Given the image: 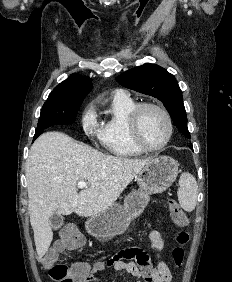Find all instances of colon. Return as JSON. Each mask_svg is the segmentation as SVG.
<instances>
[{
  "mask_svg": "<svg viewBox=\"0 0 232 282\" xmlns=\"http://www.w3.org/2000/svg\"><path fill=\"white\" fill-rule=\"evenodd\" d=\"M170 216L173 222L181 228L177 234L176 240L178 246L172 251V257L176 266H181L184 260L183 246L190 239L189 232L185 229L188 219L179 204L170 199L167 202ZM84 243L83 238L71 229L64 230L61 234L59 247L65 250H75ZM138 252L135 251V254ZM58 253L56 250L49 252L43 259V267L49 276L56 282H87L89 276V267L85 263H74L71 266L57 263Z\"/></svg>",
  "mask_w": 232,
  "mask_h": 282,
  "instance_id": "obj_1",
  "label": "colon"
}]
</instances>
